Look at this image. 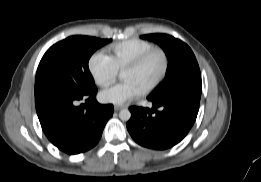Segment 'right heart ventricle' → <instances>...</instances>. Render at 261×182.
Returning <instances> with one entry per match:
<instances>
[{
  "label": "right heart ventricle",
  "instance_id": "1",
  "mask_svg": "<svg viewBox=\"0 0 261 182\" xmlns=\"http://www.w3.org/2000/svg\"><path fill=\"white\" fill-rule=\"evenodd\" d=\"M154 47L145 40L127 39L110 45L107 52L117 70L122 71L127 64Z\"/></svg>",
  "mask_w": 261,
  "mask_h": 182
}]
</instances>
